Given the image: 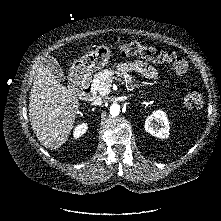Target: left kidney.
Listing matches in <instances>:
<instances>
[{
    "mask_svg": "<svg viewBox=\"0 0 221 221\" xmlns=\"http://www.w3.org/2000/svg\"><path fill=\"white\" fill-rule=\"evenodd\" d=\"M144 127L152 136L163 139L169 136V121L165 112L162 110H157L153 112L152 115L148 116Z\"/></svg>",
    "mask_w": 221,
    "mask_h": 221,
    "instance_id": "obj_1",
    "label": "left kidney"
}]
</instances>
